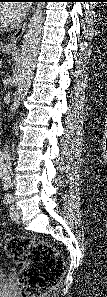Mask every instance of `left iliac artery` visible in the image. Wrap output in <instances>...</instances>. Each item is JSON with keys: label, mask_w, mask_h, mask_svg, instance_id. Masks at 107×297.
I'll return each mask as SVG.
<instances>
[{"label": "left iliac artery", "mask_w": 107, "mask_h": 297, "mask_svg": "<svg viewBox=\"0 0 107 297\" xmlns=\"http://www.w3.org/2000/svg\"><path fill=\"white\" fill-rule=\"evenodd\" d=\"M13 201H14V198H13V196H12L11 194L6 193V194L4 195V197H3V202H4L5 204H11Z\"/></svg>", "instance_id": "left-iliac-artery-1"}]
</instances>
